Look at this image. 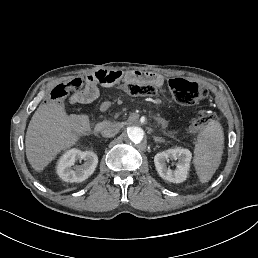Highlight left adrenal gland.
Segmentation results:
<instances>
[{
    "instance_id": "1",
    "label": "left adrenal gland",
    "mask_w": 258,
    "mask_h": 258,
    "mask_svg": "<svg viewBox=\"0 0 258 258\" xmlns=\"http://www.w3.org/2000/svg\"><path fill=\"white\" fill-rule=\"evenodd\" d=\"M152 137L155 139V141H158V142L164 141V139L161 138V137H158V136H155V135H152Z\"/></svg>"
}]
</instances>
